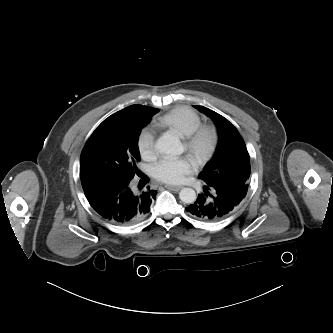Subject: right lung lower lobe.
Here are the masks:
<instances>
[{
    "label": "right lung lower lobe",
    "mask_w": 333,
    "mask_h": 333,
    "mask_svg": "<svg viewBox=\"0 0 333 333\" xmlns=\"http://www.w3.org/2000/svg\"><path fill=\"white\" fill-rule=\"evenodd\" d=\"M132 179L94 177L81 180L85 196L92 208L106 220L119 225H131L140 221L150 211L156 191L135 193ZM145 185L139 182V189Z\"/></svg>",
    "instance_id": "right-lung-lower-lobe-1"
}]
</instances>
